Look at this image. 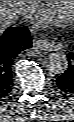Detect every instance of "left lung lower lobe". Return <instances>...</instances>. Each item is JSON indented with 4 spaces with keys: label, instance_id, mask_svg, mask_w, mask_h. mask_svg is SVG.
<instances>
[{
    "label": "left lung lower lobe",
    "instance_id": "0a47b994",
    "mask_svg": "<svg viewBox=\"0 0 74 122\" xmlns=\"http://www.w3.org/2000/svg\"><path fill=\"white\" fill-rule=\"evenodd\" d=\"M68 69L56 79L57 88L60 93L74 96V52L67 55Z\"/></svg>",
    "mask_w": 74,
    "mask_h": 122
}]
</instances>
